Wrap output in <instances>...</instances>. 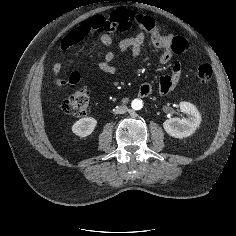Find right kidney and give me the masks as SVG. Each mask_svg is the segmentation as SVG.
<instances>
[{"mask_svg":"<svg viewBox=\"0 0 236 236\" xmlns=\"http://www.w3.org/2000/svg\"><path fill=\"white\" fill-rule=\"evenodd\" d=\"M97 120L93 117L79 119L72 126V132L79 137H86L94 131Z\"/></svg>","mask_w":236,"mask_h":236,"instance_id":"ca27d5eb","label":"right kidney"}]
</instances>
